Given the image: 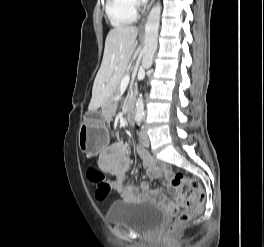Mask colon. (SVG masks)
I'll use <instances>...</instances> for the list:
<instances>
[{
    "mask_svg": "<svg viewBox=\"0 0 264 247\" xmlns=\"http://www.w3.org/2000/svg\"><path fill=\"white\" fill-rule=\"evenodd\" d=\"M86 176L95 188V197L98 200H105L111 191V185L105 175L95 168H88ZM170 183L182 195L180 199H177L172 211L175 219L169 230L174 231L190 222L194 215L201 212L206 201V195L196 179L183 173H174ZM187 191H191L192 195L185 197Z\"/></svg>",
    "mask_w": 264,
    "mask_h": 247,
    "instance_id": "5ec220e1",
    "label": "colon"
}]
</instances>
